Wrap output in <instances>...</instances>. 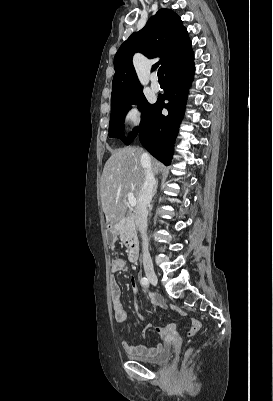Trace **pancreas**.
<instances>
[{"label": "pancreas", "mask_w": 273, "mask_h": 401, "mask_svg": "<svg viewBox=\"0 0 273 401\" xmlns=\"http://www.w3.org/2000/svg\"><path fill=\"white\" fill-rule=\"evenodd\" d=\"M117 229L120 233L121 241H125L127 231H126V227H125L124 223H118Z\"/></svg>", "instance_id": "obj_1"}]
</instances>
